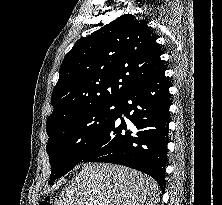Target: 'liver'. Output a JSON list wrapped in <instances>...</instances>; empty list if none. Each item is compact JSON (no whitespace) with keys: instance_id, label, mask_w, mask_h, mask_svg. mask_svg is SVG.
I'll return each mask as SVG.
<instances>
[{"instance_id":"liver-1","label":"liver","mask_w":222,"mask_h":205,"mask_svg":"<svg viewBox=\"0 0 222 205\" xmlns=\"http://www.w3.org/2000/svg\"><path fill=\"white\" fill-rule=\"evenodd\" d=\"M160 189L149 176L112 164H83L57 205H155Z\"/></svg>"}]
</instances>
